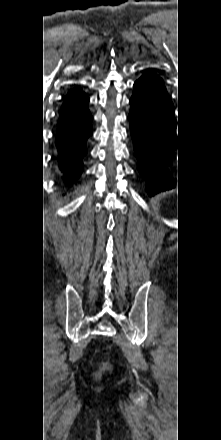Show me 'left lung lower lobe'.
<instances>
[{
    "instance_id": "1",
    "label": "left lung lower lobe",
    "mask_w": 221,
    "mask_h": 440,
    "mask_svg": "<svg viewBox=\"0 0 221 440\" xmlns=\"http://www.w3.org/2000/svg\"><path fill=\"white\" fill-rule=\"evenodd\" d=\"M129 122L138 171L146 190L154 195L173 186L167 171L169 156L177 149L174 107L162 79L145 72L134 84Z\"/></svg>"
}]
</instances>
